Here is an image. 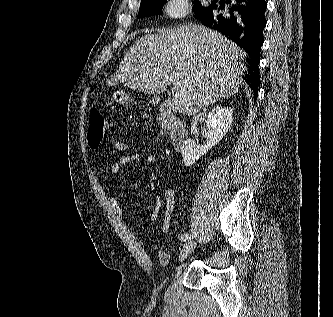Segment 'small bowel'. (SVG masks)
Here are the masks:
<instances>
[{"instance_id":"small-bowel-1","label":"small bowel","mask_w":333,"mask_h":317,"mask_svg":"<svg viewBox=\"0 0 333 317\" xmlns=\"http://www.w3.org/2000/svg\"><path fill=\"white\" fill-rule=\"evenodd\" d=\"M113 147L117 150H124L127 148L124 143H113ZM155 161L156 157L152 153L144 150H136L120 157L117 161H115L111 166V174L116 176L120 173L123 167L136 162L153 164ZM111 201L112 203H116V199L113 194H111ZM163 208L165 212L161 231L163 234H168L172 227L175 208V194L170 188L165 189L163 195L157 196L155 199L150 215V225L152 227L156 226L160 212Z\"/></svg>"}]
</instances>
